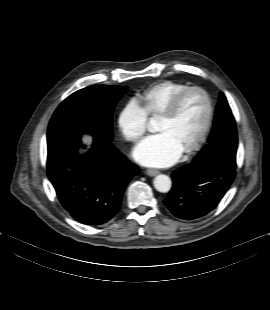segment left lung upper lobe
Wrapping results in <instances>:
<instances>
[{
	"mask_svg": "<svg viewBox=\"0 0 270 310\" xmlns=\"http://www.w3.org/2000/svg\"><path fill=\"white\" fill-rule=\"evenodd\" d=\"M237 130L232 111L223 93H220L214 126L208 145L194 160H216L236 164Z\"/></svg>",
	"mask_w": 270,
	"mask_h": 310,
	"instance_id": "obj_1",
	"label": "left lung upper lobe"
}]
</instances>
